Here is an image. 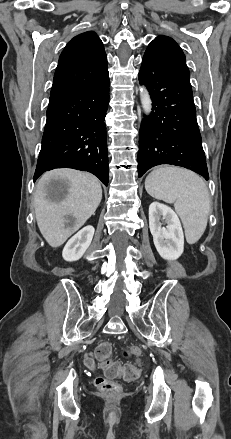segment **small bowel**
I'll return each mask as SVG.
<instances>
[{"label":"small bowel","mask_w":231,"mask_h":439,"mask_svg":"<svg viewBox=\"0 0 231 439\" xmlns=\"http://www.w3.org/2000/svg\"><path fill=\"white\" fill-rule=\"evenodd\" d=\"M85 363L89 368H94L95 367V360L92 356V353H89L86 355L85 357Z\"/></svg>","instance_id":"c3829d8e"}]
</instances>
